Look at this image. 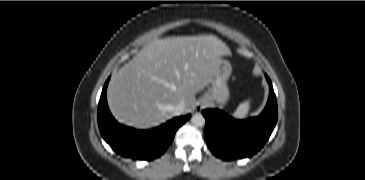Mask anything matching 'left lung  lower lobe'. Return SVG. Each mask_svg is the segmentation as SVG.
Wrapping results in <instances>:
<instances>
[{
    "label": "left lung lower lobe",
    "mask_w": 365,
    "mask_h": 180,
    "mask_svg": "<svg viewBox=\"0 0 365 180\" xmlns=\"http://www.w3.org/2000/svg\"><path fill=\"white\" fill-rule=\"evenodd\" d=\"M270 92L263 112L246 120H235L218 109H206L205 140L217 157L223 160L251 157L270 137L277 123V100L268 76Z\"/></svg>",
    "instance_id": "obj_1"
}]
</instances>
